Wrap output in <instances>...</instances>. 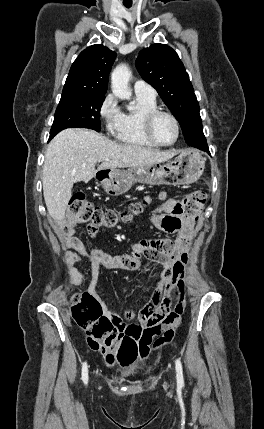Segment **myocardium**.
<instances>
[{
    "label": "myocardium",
    "mask_w": 264,
    "mask_h": 429,
    "mask_svg": "<svg viewBox=\"0 0 264 429\" xmlns=\"http://www.w3.org/2000/svg\"><path fill=\"white\" fill-rule=\"evenodd\" d=\"M162 115L170 118L173 121L175 128H176V136H175L174 140L170 143H162V142L158 141L157 138L155 137V134H154L153 127H154L155 120L159 116H162ZM143 128H144V132H145L146 137L154 145L159 146V147H169V146L174 145L180 136V123H179L177 117L173 113L166 111V110H163V109H160V108L153 109L145 115L144 121H143Z\"/></svg>",
    "instance_id": "obj_1"
}]
</instances>
